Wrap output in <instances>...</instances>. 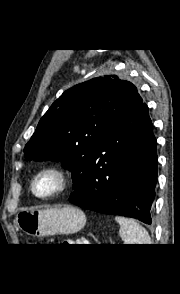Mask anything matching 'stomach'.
Wrapping results in <instances>:
<instances>
[{"label":"stomach","mask_w":180,"mask_h":294,"mask_svg":"<svg viewBox=\"0 0 180 294\" xmlns=\"http://www.w3.org/2000/svg\"><path fill=\"white\" fill-rule=\"evenodd\" d=\"M15 223L28 235L46 237L80 231L86 223V216L77 207L64 206L20 211L16 215Z\"/></svg>","instance_id":"stomach-1"}]
</instances>
